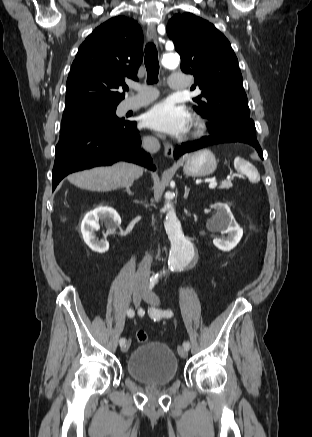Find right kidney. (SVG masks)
Here are the masks:
<instances>
[{
  "label": "right kidney",
  "mask_w": 312,
  "mask_h": 437,
  "mask_svg": "<svg viewBox=\"0 0 312 437\" xmlns=\"http://www.w3.org/2000/svg\"><path fill=\"white\" fill-rule=\"evenodd\" d=\"M99 220L105 222L108 230L114 231L121 224L119 214L111 207L99 206L88 212L81 223V232L85 243L95 252L104 253L109 249L106 240H98L95 231L99 229Z\"/></svg>",
  "instance_id": "obj_1"
}]
</instances>
